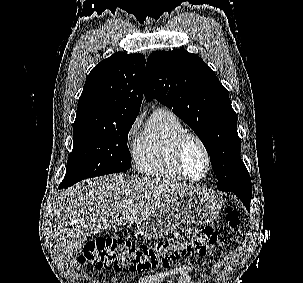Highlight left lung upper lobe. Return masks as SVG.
Here are the masks:
<instances>
[{
    "instance_id": "5c2ea615",
    "label": "left lung upper lobe",
    "mask_w": 303,
    "mask_h": 283,
    "mask_svg": "<svg viewBox=\"0 0 303 283\" xmlns=\"http://www.w3.org/2000/svg\"><path fill=\"white\" fill-rule=\"evenodd\" d=\"M146 68V100L155 98L194 130L210 155L217 188L252 193L236 113L214 71L184 49L153 52Z\"/></svg>"
}]
</instances>
